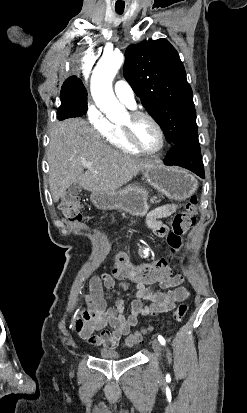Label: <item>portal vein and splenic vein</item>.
Wrapping results in <instances>:
<instances>
[{"mask_svg":"<svg viewBox=\"0 0 247 413\" xmlns=\"http://www.w3.org/2000/svg\"><path fill=\"white\" fill-rule=\"evenodd\" d=\"M83 166H92L93 162L91 160H81Z\"/></svg>","mask_w":247,"mask_h":413,"instance_id":"portal-vein-and-splenic-vein-1","label":"portal vein and splenic vein"}]
</instances>
